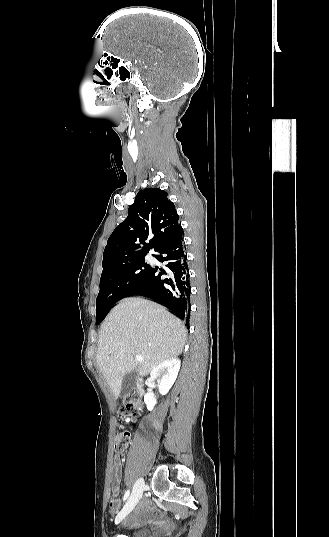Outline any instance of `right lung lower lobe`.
<instances>
[{
    "instance_id": "1",
    "label": "right lung lower lobe",
    "mask_w": 329,
    "mask_h": 537,
    "mask_svg": "<svg viewBox=\"0 0 329 537\" xmlns=\"http://www.w3.org/2000/svg\"><path fill=\"white\" fill-rule=\"evenodd\" d=\"M154 257L166 262V269L150 266L126 297L140 295L167 306L182 320L190 315V276L183 243V229L162 244Z\"/></svg>"
}]
</instances>
